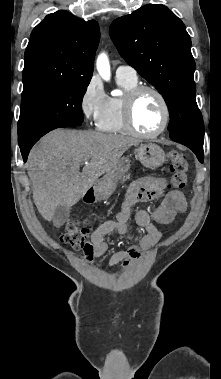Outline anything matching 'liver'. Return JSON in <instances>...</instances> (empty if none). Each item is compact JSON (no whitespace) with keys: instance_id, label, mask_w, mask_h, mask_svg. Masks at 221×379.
<instances>
[{"instance_id":"1","label":"liver","mask_w":221,"mask_h":379,"mask_svg":"<svg viewBox=\"0 0 221 379\" xmlns=\"http://www.w3.org/2000/svg\"><path fill=\"white\" fill-rule=\"evenodd\" d=\"M137 143L128 136L94 131L57 129L45 135L31 149L27 164L39 213L50 221L58 205H75ZM86 159L90 161L80 172Z\"/></svg>"}]
</instances>
